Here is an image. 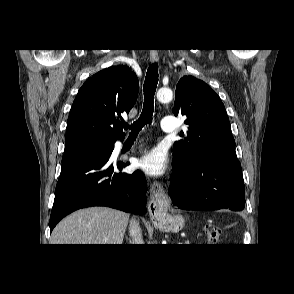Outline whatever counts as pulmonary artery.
Instances as JSON below:
<instances>
[{
    "label": "pulmonary artery",
    "mask_w": 294,
    "mask_h": 294,
    "mask_svg": "<svg viewBox=\"0 0 294 294\" xmlns=\"http://www.w3.org/2000/svg\"><path fill=\"white\" fill-rule=\"evenodd\" d=\"M161 127L166 132H172L176 129L175 117L166 116L161 120Z\"/></svg>",
    "instance_id": "pulmonary-artery-1"
}]
</instances>
